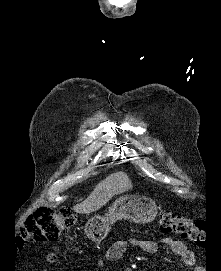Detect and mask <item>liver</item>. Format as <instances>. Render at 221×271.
Segmentation results:
<instances>
[{
	"instance_id": "1",
	"label": "liver",
	"mask_w": 221,
	"mask_h": 271,
	"mask_svg": "<svg viewBox=\"0 0 221 271\" xmlns=\"http://www.w3.org/2000/svg\"><path fill=\"white\" fill-rule=\"evenodd\" d=\"M112 185H121L119 191H123L125 185L122 187L121 181H119L118 177H113V179H104L101 183L96 185L95 189H93L92 193L81 201V203H77L74 205V211L77 213H91V211H97L100 207H103L111 197H113V193L111 191Z\"/></svg>"
}]
</instances>
